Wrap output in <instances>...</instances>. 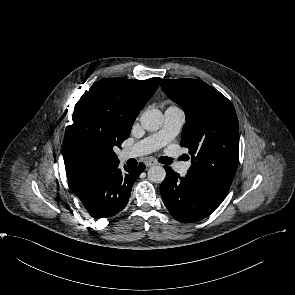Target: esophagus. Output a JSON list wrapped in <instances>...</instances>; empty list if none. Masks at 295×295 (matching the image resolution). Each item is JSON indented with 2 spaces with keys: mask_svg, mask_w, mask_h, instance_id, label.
I'll return each instance as SVG.
<instances>
[{
  "mask_svg": "<svg viewBox=\"0 0 295 295\" xmlns=\"http://www.w3.org/2000/svg\"><path fill=\"white\" fill-rule=\"evenodd\" d=\"M145 164L147 167H151L157 164V161L154 158H148L145 160Z\"/></svg>",
  "mask_w": 295,
  "mask_h": 295,
  "instance_id": "1",
  "label": "esophagus"
}]
</instances>
